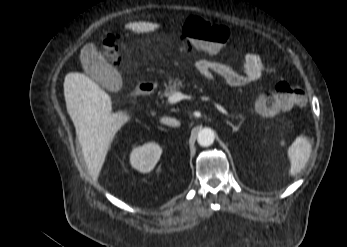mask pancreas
I'll list each match as a JSON object with an SVG mask.
<instances>
[{
    "mask_svg": "<svg viewBox=\"0 0 347 247\" xmlns=\"http://www.w3.org/2000/svg\"><path fill=\"white\" fill-rule=\"evenodd\" d=\"M184 87L185 85L183 84V80H180L179 78H170L167 83H165V91L163 92L162 96L169 97L170 95ZM239 118L242 121L244 120V117L242 115H239Z\"/></svg>",
    "mask_w": 347,
    "mask_h": 247,
    "instance_id": "pancreas-1",
    "label": "pancreas"
}]
</instances>
